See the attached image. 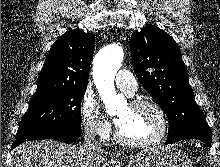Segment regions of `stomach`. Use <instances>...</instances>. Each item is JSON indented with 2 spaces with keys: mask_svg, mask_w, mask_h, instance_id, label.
<instances>
[{
  "mask_svg": "<svg viewBox=\"0 0 220 167\" xmlns=\"http://www.w3.org/2000/svg\"><path fill=\"white\" fill-rule=\"evenodd\" d=\"M126 167H192L191 160L172 147L146 148L133 155Z\"/></svg>",
  "mask_w": 220,
  "mask_h": 167,
  "instance_id": "1",
  "label": "stomach"
}]
</instances>
